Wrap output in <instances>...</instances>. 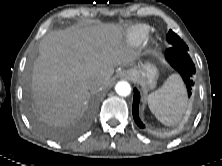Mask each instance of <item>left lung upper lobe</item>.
<instances>
[{
	"label": "left lung upper lobe",
	"mask_w": 222,
	"mask_h": 166,
	"mask_svg": "<svg viewBox=\"0 0 222 166\" xmlns=\"http://www.w3.org/2000/svg\"><path fill=\"white\" fill-rule=\"evenodd\" d=\"M166 39L172 46L188 48L187 45L185 44V42L177 34H175L172 30H169V32L166 36Z\"/></svg>",
	"instance_id": "left-lung-upper-lobe-1"
}]
</instances>
